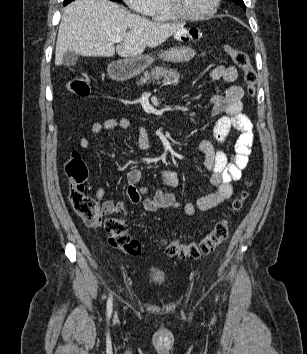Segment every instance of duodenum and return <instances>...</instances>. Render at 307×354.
Wrapping results in <instances>:
<instances>
[{
	"label": "duodenum",
	"instance_id": "obj_1",
	"mask_svg": "<svg viewBox=\"0 0 307 354\" xmlns=\"http://www.w3.org/2000/svg\"><path fill=\"white\" fill-rule=\"evenodd\" d=\"M115 75H116V77H117V78H120V77H122V76H123V74H122V73H120V72L115 73Z\"/></svg>",
	"mask_w": 307,
	"mask_h": 354
}]
</instances>
